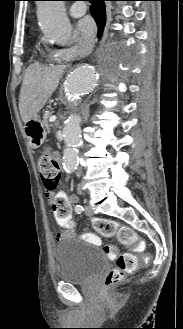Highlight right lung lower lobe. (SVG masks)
<instances>
[{
    "mask_svg": "<svg viewBox=\"0 0 183 329\" xmlns=\"http://www.w3.org/2000/svg\"><path fill=\"white\" fill-rule=\"evenodd\" d=\"M105 0H90L92 5L90 6V12L95 19L98 26V37L103 33V29L106 23V11Z\"/></svg>",
    "mask_w": 183,
    "mask_h": 329,
    "instance_id": "98d812e1",
    "label": "right lung lower lobe"
}]
</instances>
